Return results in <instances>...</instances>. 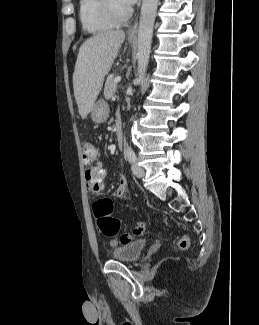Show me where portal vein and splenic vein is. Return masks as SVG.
I'll return each instance as SVG.
<instances>
[{
	"label": "portal vein and splenic vein",
	"instance_id": "obj_1",
	"mask_svg": "<svg viewBox=\"0 0 259 325\" xmlns=\"http://www.w3.org/2000/svg\"><path fill=\"white\" fill-rule=\"evenodd\" d=\"M120 80H121V77H120V76L115 77V79H114V83H118Z\"/></svg>",
	"mask_w": 259,
	"mask_h": 325
}]
</instances>
